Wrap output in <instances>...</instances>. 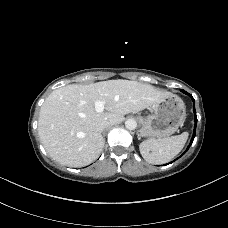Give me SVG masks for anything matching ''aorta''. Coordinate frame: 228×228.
I'll list each match as a JSON object with an SVG mask.
<instances>
[{"label":"aorta","instance_id":"obj_1","mask_svg":"<svg viewBox=\"0 0 228 228\" xmlns=\"http://www.w3.org/2000/svg\"><path fill=\"white\" fill-rule=\"evenodd\" d=\"M125 127L128 130H134L137 127V123H136V121L134 119H127L125 121Z\"/></svg>","mask_w":228,"mask_h":228}]
</instances>
